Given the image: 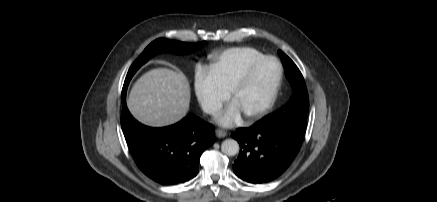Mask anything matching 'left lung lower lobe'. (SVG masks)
<instances>
[{"label":"left lung lower lobe","mask_w":437,"mask_h":202,"mask_svg":"<svg viewBox=\"0 0 437 202\" xmlns=\"http://www.w3.org/2000/svg\"><path fill=\"white\" fill-rule=\"evenodd\" d=\"M306 118L295 112L264 117L232 137L240 144L234 173L249 183H264L280 176L293 160L305 134Z\"/></svg>","instance_id":"left-lung-lower-lobe-1"}]
</instances>
